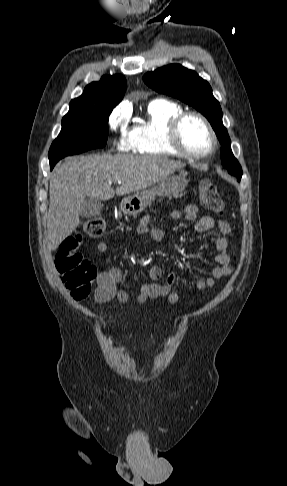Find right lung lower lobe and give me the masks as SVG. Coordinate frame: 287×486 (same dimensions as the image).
Segmentation results:
<instances>
[{
	"mask_svg": "<svg viewBox=\"0 0 287 486\" xmlns=\"http://www.w3.org/2000/svg\"><path fill=\"white\" fill-rule=\"evenodd\" d=\"M55 166V164H50V168L53 169V167Z\"/></svg>",
	"mask_w": 287,
	"mask_h": 486,
	"instance_id": "98d812e1",
	"label": "right lung lower lobe"
}]
</instances>
